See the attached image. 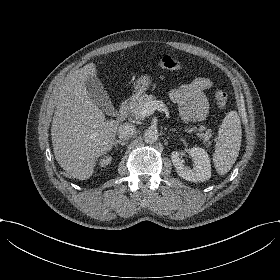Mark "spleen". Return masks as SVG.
Segmentation results:
<instances>
[{
    "label": "spleen",
    "instance_id": "obj_1",
    "mask_svg": "<svg viewBox=\"0 0 280 280\" xmlns=\"http://www.w3.org/2000/svg\"><path fill=\"white\" fill-rule=\"evenodd\" d=\"M242 140L240 118L236 111L227 113L218 132V141L213 155L215 169L226 174L237 159Z\"/></svg>",
    "mask_w": 280,
    "mask_h": 280
}]
</instances>
